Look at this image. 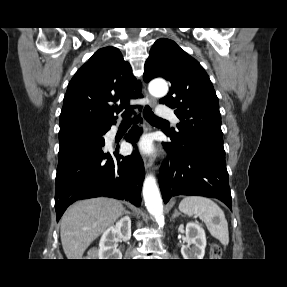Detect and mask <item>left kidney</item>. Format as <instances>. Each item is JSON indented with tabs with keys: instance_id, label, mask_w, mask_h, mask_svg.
Segmentation results:
<instances>
[{
	"instance_id": "1",
	"label": "left kidney",
	"mask_w": 287,
	"mask_h": 287,
	"mask_svg": "<svg viewBox=\"0 0 287 287\" xmlns=\"http://www.w3.org/2000/svg\"><path fill=\"white\" fill-rule=\"evenodd\" d=\"M186 241L187 245H184L181 248L183 258L203 259L206 247V236L204 229L196 223H187Z\"/></svg>"
}]
</instances>
